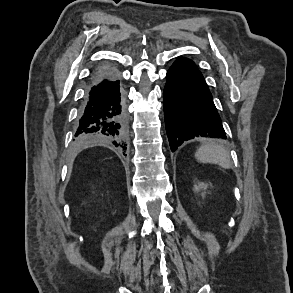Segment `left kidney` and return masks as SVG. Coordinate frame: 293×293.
Wrapping results in <instances>:
<instances>
[{"label":"left kidney","mask_w":293,"mask_h":293,"mask_svg":"<svg viewBox=\"0 0 293 293\" xmlns=\"http://www.w3.org/2000/svg\"><path fill=\"white\" fill-rule=\"evenodd\" d=\"M208 187H209L208 184L203 183V182H198L197 184L194 185L193 190H194L195 192H199V191L202 190L203 192H202L201 195H202V197H204L205 194H206V190H207Z\"/></svg>","instance_id":"left-kidney-1"}]
</instances>
